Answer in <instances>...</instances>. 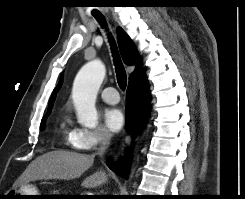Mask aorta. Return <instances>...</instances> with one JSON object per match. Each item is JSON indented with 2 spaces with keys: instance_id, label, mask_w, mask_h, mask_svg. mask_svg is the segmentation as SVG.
Listing matches in <instances>:
<instances>
[{
  "instance_id": "762f6f07",
  "label": "aorta",
  "mask_w": 245,
  "mask_h": 199,
  "mask_svg": "<svg viewBox=\"0 0 245 199\" xmlns=\"http://www.w3.org/2000/svg\"><path fill=\"white\" fill-rule=\"evenodd\" d=\"M105 74L104 64L100 60H93L80 69L74 80L72 99L81 125L86 127L97 125L98 113L95 101Z\"/></svg>"
}]
</instances>
